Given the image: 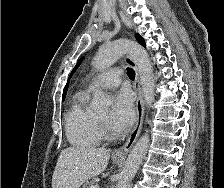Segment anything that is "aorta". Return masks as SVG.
<instances>
[{
    "label": "aorta",
    "instance_id": "aorta-1",
    "mask_svg": "<svg viewBox=\"0 0 224 188\" xmlns=\"http://www.w3.org/2000/svg\"><path fill=\"white\" fill-rule=\"evenodd\" d=\"M128 53L136 63L140 75L145 103L150 107L154 101L155 80L153 65L147 51L139 44L126 39H119L108 44H103L93 64L96 69L103 71L111 67L122 55ZM109 98L100 90L94 92L91 109L96 112L106 111ZM149 146V136L145 133L135 144L130 152L125 167L121 173L116 188H127L128 183L136 174Z\"/></svg>",
    "mask_w": 224,
    "mask_h": 188
}]
</instances>
